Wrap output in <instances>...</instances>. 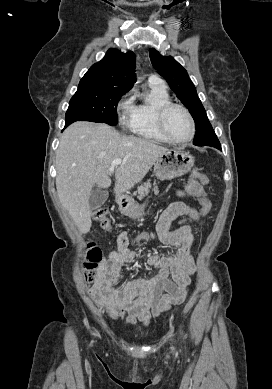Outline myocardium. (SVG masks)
Wrapping results in <instances>:
<instances>
[{
    "label": "myocardium",
    "mask_w": 272,
    "mask_h": 389,
    "mask_svg": "<svg viewBox=\"0 0 272 389\" xmlns=\"http://www.w3.org/2000/svg\"><path fill=\"white\" fill-rule=\"evenodd\" d=\"M174 108H179L182 111H184V113L186 114V116L188 117V120L190 122L191 133L186 139H182V140L175 139L174 137H172L170 135V133L167 130L166 118H167V115L170 112V110H172ZM157 126H158V129L161 132V134L169 142L175 143V144H185V143L190 142L194 138L195 133H196V124H195L194 118H193L191 112L189 111V109L182 104L174 103V102L166 103L159 108V110L157 112Z\"/></svg>",
    "instance_id": "obj_1"
}]
</instances>
